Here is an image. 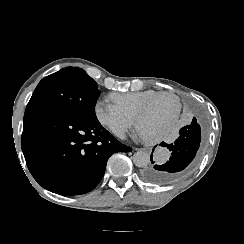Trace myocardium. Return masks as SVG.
<instances>
[{
	"instance_id": "myocardium-1",
	"label": "myocardium",
	"mask_w": 244,
	"mask_h": 244,
	"mask_svg": "<svg viewBox=\"0 0 244 244\" xmlns=\"http://www.w3.org/2000/svg\"><path fill=\"white\" fill-rule=\"evenodd\" d=\"M123 94H126V93H123ZM164 97H172L174 99H176L177 101V109L176 111L164 122V128L169 125V124H172L174 122V120L176 119L177 115L179 114L180 110H181V106H182V103H181V98L180 96H178L177 94L173 93V92H162L160 95H155L153 98H151L148 102H146L143 106H142V109H141V113L139 114V117H140V120L139 122L141 124H144V120H143V117L145 115V113L148 111V108L151 107L157 100L159 99H163ZM155 101V102H154ZM145 112V113H144ZM163 128V129H164ZM162 129V131H163ZM161 131V132H162ZM160 132V133H161Z\"/></svg>"
}]
</instances>
